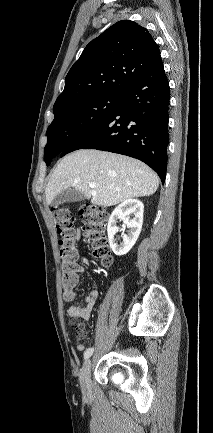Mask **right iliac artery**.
Masks as SVG:
<instances>
[{
    "mask_svg": "<svg viewBox=\"0 0 213 433\" xmlns=\"http://www.w3.org/2000/svg\"><path fill=\"white\" fill-rule=\"evenodd\" d=\"M94 348H88L85 352H84V359H88L92 354H93Z\"/></svg>",
    "mask_w": 213,
    "mask_h": 433,
    "instance_id": "right-iliac-artery-1",
    "label": "right iliac artery"
}]
</instances>
